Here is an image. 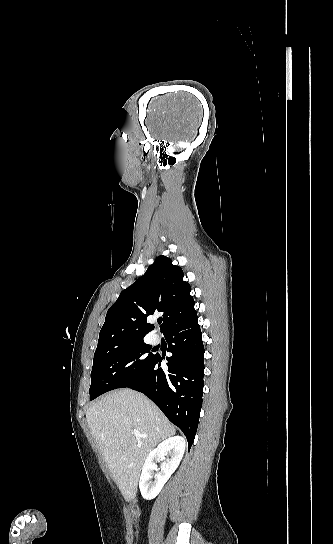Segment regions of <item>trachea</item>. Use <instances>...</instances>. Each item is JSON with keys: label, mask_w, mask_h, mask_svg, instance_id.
Here are the masks:
<instances>
[{"label": "trachea", "mask_w": 333, "mask_h": 544, "mask_svg": "<svg viewBox=\"0 0 333 544\" xmlns=\"http://www.w3.org/2000/svg\"><path fill=\"white\" fill-rule=\"evenodd\" d=\"M162 320H163L162 318H158L157 322H158L159 324H161V323H162Z\"/></svg>", "instance_id": "trachea-1"}]
</instances>
